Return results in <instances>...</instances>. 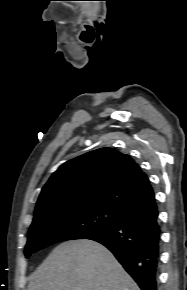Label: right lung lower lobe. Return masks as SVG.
I'll use <instances>...</instances> for the list:
<instances>
[{
    "label": "right lung lower lobe",
    "instance_id": "obj_1",
    "mask_svg": "<svg viewBox=\"0 0 187 290\" xmlns=\"http://www.w3.org/2000/svg\"><path fill=\"white\" fill-rule=\"evenodd\" d=\"M85 239L106 246L141 290H157L161 242L158 210L132 215L120 224Z\"/></svg>",
    "mask_w": 187,
    "mask_h": 290
}]
</instances>
